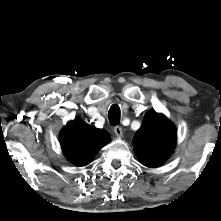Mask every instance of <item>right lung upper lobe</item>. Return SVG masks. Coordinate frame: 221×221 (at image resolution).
Wrapping results in <instances>:
<instances>
[{
	"label": "right lung upper lobe",
	"instance_id": "obj_1",
	"mask_svg": "<svg viewBox=\"0 0 221 221\" xmlns=\"http://www.w3.org/2000/svg\"><path fill=\"white\" fill-rule=\"evenodd\" d=\"M110 141L109 134L79 119L70 121L60 134V143L68 160L77 166L89 164L95 154Z\"/></svg>",
	"mask_w": 221,
	"mask_h": 221
}]
</instances>
